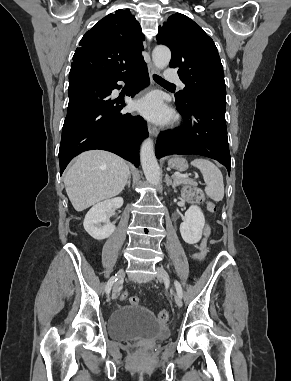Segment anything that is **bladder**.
<instances>
[{"mask_svg": "<svg viewBox=\"0 0 291 381\" xmlns=\"http://www.w3.org/2000/svg\"><path fill=\"white\" fill-rule=\"evenodd\" d=\"M108 334L117 341L159 340L169 335V327L159 322L146 307L131 304L109 314Z\"/></svg>", "mask_w": 291, "mask_h": 381, "instance_id": "31cf9c89", "label": "bladder"}]
</instances>
